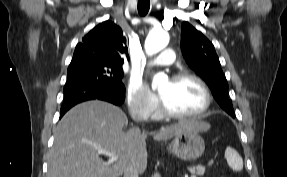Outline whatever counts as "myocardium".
Masks as SVG:
<instances>
[{"label":"myocardium","instance_id":"f54148a6","mask_svg":"<svg viewBox=\"0 0 287 177\" xmlns=\"http://www.w3.org/2000/svg\"><path fill=\"white\" fill-rule=\"evenodd\" d=\"M184 80H191V81L195 82L196 84H198V86L201 88V90L204 94V104L199 111H197L195 113L184 114V113H177V112L171 111L161 99L160 100L161 110H162L163 114L168 118H172V119H194V118H198V117H201L203 114H205L211 107L212 95H211L210 89L207 86V84L205 83V81L202 78H200L199 76L192 74V73H188V72L178 73L172 79V81H176V82L184 81Z\"/></svg>","mask_w":287,"mask_h":177}]
</instances>
